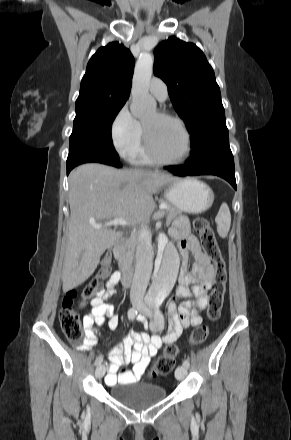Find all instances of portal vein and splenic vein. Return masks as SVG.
Returning a JSON list of instances; mask_svg holds the SVG:
<instances>
[{
	"label": "portal vein and splenic vein",
	"mask_w": 291,
	"mask_h": 440,
	"mask_svg": "<svg viewBox=\"0 0 291 440\" xmlns=\"http://www.w3.org/2000/svg\"><path fill=\"white\" fill-rule=\"evenodd\" d=\"M167 208V205L165 204H161L159 206L160 210H164ZM117 225H123V226H128L129 223L122 219V218H118V219H113L111 221L106 222L104 225H94L95 228H102V227H109V226H117Z\"/></svg>",
	"instance_id": "18ae733b"
}]
</instances>
